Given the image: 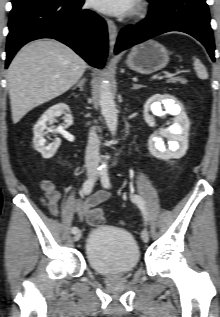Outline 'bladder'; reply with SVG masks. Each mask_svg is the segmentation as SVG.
<instances>
[{
  "label": "bladder",
  "mask_w": 220,
  "mask_h": 317,
  "mask_svg": "<svg viewBox=\"0 0 220 317\" xmlns=\"http://www.w3.org/2000/svg\"><path fill=\"white\" fill-rule=\"evenodd\" d=\"M87 265L104 275L128 274L140 262V249L125 229L103 226L90 231L85 242Z\"/></svg>",
  "instance_id": "1"
}]
</instances>
